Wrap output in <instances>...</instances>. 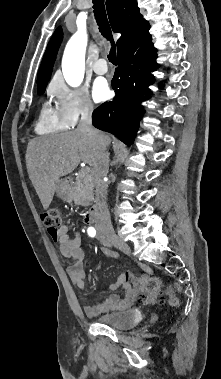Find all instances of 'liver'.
<instances>
[{"mask_svg":"<svg viewBox=\"0 0 221 379\" xmlns=\"http://www.w3.org/2000/svg\"><path fill=\"white\" fill-rule=\"evenodd\" d=\"M111 142L109 136H94L78 129L32 139L27 146L26 166L29 178L43 208H49L56 185L82 161L94 166L101 147Z\"/></svg>","mask_w":221,"mask_h":379,"instance_id":"liver-1","label":"liver"}]
</instances>
